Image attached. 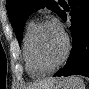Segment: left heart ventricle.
I'll list each match as a JSON object with an SVG mask.
<instances>
[{
  "instance_id": "left-heart-ventricle-1",
  "label": "left heart ventricle",
  "mask_w": 89,
  "mask_h": 89,
  "mask_svg": "<svg viewBox=\"0 0 89 89\" xmlns=\"http://www.w3.org/2000/svg\"><path fill=\"white\" fill-rule=\"evenodd\" d=\"M65 43L63 34L53 24L45 25L37 40V52L41 63L51 66L62 56Z\"/></svg>"
}]
</instances>
